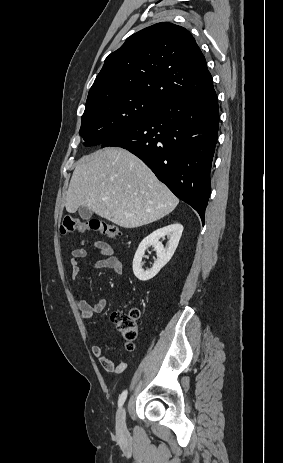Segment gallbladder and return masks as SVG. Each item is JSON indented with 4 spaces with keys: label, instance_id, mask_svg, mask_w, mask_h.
Masks as SVG:
<instances>
[{
    "label": "gallbladder",
    "instance_id": "bac80fb5",
    "mask_svg": "<svg viewBox=\"0 0 283 463\" xmlns=\"http://www.w3.org/2000/svg\"><path fill=\"white\" fill-rule=\"evenodd\" d=\"M78 212H79L80 217H81L83 220H88V219H90L91 216H92V214H93V212H92L91 210H89L88 208L83 207V206L79 207Z\"/></svg>",
    "mask_w": 283,
    "mask_h": 463
}]
</instances>
